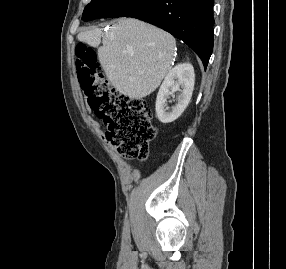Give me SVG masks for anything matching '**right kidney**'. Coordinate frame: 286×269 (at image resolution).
Here are the masks:
<instances>
[{"label":"right kidney","instance_id":"ca27d5eb","mask_svg":"<svg viewBox=\"0 0 286 269\" xmlns=\"http://www.w3.org/2000/svg\"><path fill=\"white\" fill-rule=\"evenodd\" d=\"M194 81V69L189 63L179 64L169 71L160 86L156 99V114L162 123H171L183 113L190 102ZM177 91L179 95L176 106L172 108L171 112H166L168 109L167 99Z\"/></svg>","mask_w":286,"mask_h":269}]
</instances>
